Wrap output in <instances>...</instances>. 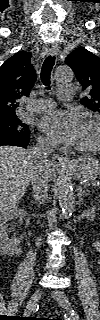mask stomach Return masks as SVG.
Masks as SVG:
<instances>
[{
	"mask_svg": "<svg viewBox=\"0 0 100 320\" xmlns=\"http://www.w3.org/2000/svg\"><path fill=\"white\" fill-rule=\"evenodd\" d=\"M66 170L76 180H95L100 175V161L90 156L80 157L72 160Z\"/></svg>",
	"mask_w": 100,
	"mask_h": 320,
	"instance_id": "0dacf381",
	"label": "stomach"
}]
</instances>
